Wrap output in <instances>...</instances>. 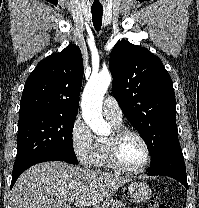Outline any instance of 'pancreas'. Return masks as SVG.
<instances>
[{
    "label": "pancreas",
    "instance_id": "pancreas-1",
    "mask_svg": "<svg viewBox=\"0 0 199 208\" xmlns=\"http://www.w3.org/2000/svg\"><path fill=\"white\" fill-rule=\"evenodd\" d=\"M126 203L117 200H106L101 205H97L95 208H125Z\"/></svg>",
    "mask_w": 199,
    "mask_h": 208
}]
</instances>
